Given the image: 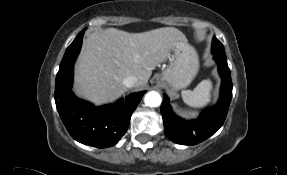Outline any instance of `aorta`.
Here are the masks:
<instances>
[{
  "label": "aorta",
  "instance_id": "1",
  "mask_svg": "<svg viewBox=\"0 0 287 175\" xmlns=\"http://www.w3.org/2000/svg\"><path fill=\"white\" fill-rule=\"evenodd\" d=\"M162 102L160 94L156 91L148 92L144 97V103L148 107H158Z\"/></svg>",
  "mask_w": 287,
  "mask_h": 175
}]
</instances>
